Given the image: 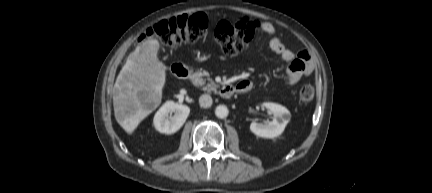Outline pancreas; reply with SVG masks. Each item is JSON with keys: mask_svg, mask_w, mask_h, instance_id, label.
Masks as SVG:
<instances>
[{"mask_svg": "<svg viewBox=\"0 0 432 193\" xmlns=\"http://www.w3.org/2000/svg\"><path fill=\"white\" fill-rule=\"evenodd\" d=\"M196 78L194 80V84L197 86H203L206 84V80L208 81V83L206 84L205 87H203L205 90L207 91H216L218 85L211 79V78H207L204 79L203 76H209V74L207 72H197L195 74Z\"/></svg>", "mask_w": 432, "mask_h": 193, "instance_id": "1", "label": "pancreas"}]
</instances>
